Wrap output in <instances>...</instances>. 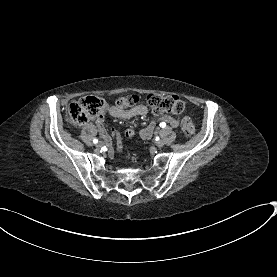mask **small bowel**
I'll return each instance as SVG.
<instances>
[{"instance_id": "small-bowel-1", "label": "small bowel", "mask_w": 277, "mask_h": 277, "mask_svg": "<svg viewBox=\"0 0 277 277\" xmlns=\"http://www.w3.org/2000/svg\"><path fill=\"white\" fill-rule=\"evenodd\" d=\"M106 113H108L109 115H111L115 118H119V119H122V120H130L134 117L146 116L149 113V109L146 105H143V104L134 105L129 110H122L118 107H114V106L109 107L108 105H105L103 111L101 113H99L98 115H96L95 117H93V121L96 123V125L98 127V130H99V133L104 136L103 137L104 154L106 156H111L112 155V149L110 148L111 147V139L107 135L106 128L103 124L104 115ZM159 120L169 124L172 127H177L178 124H179V121L176 117L171 116V115H165V116L161 117L160 119L153 120L147 127L143 128L140 131V136L143 139L150 138L152 136L153 131H154V127H155L156 123ZM111 133L118 135V128L117 127H112L111 128ZM133 137H134L133 128L132 127H126L125 128V138L126 139H131Z\"/></svg>"}]
</instances>
